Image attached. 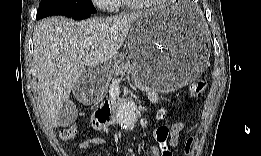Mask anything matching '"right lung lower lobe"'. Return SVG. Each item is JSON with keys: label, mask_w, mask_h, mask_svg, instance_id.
Returning <instances> with one entry per match:
<instances>
[{"label": "right lung lower lobe", "mask_w": 261, "mask_h": 156, "mask_svg": "<svg viewBox=\"0 0 261 156\" xmlns=\"http://www.w3.org/2000/svg\"><path fill=\"white\" fill-rule=\"evenodd\" d=\"M91 14H77L75 16H73L72 18H75V19H85V18H88Z\"/></svg>", "instance_id": "obj_1"}]
</instances>
